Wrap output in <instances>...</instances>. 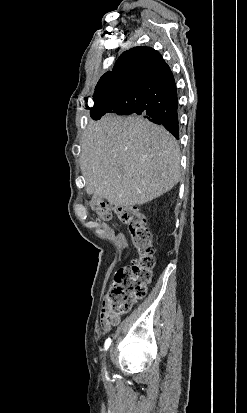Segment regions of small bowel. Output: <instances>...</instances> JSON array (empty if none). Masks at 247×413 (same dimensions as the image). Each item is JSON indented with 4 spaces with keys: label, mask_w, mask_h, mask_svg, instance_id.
Segmentation results:
<instances>
[{
    "label": "small bowel",
    "mask_w": 247,
    "mask_h": 413,
    "mask_svg": "<svg viewBox=\"0 0 247 413\" xmlns=\"http://www.w3.org/2000/svg\"><path fill=\"white\" fill-rule=\"evenodd\" d=\"M120 317L109 312L107 301H104V307L100 313V326L104 332H108L113 326L120 323Z\"/></svg>",
    "instance_id": "c3829d8e"
}]
</instances>
